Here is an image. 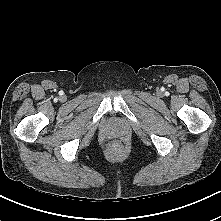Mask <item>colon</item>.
I'll return each instance as SVG.
<instances>
[{
  "label": "colon",
  "instance_id": "colon-1",
  "mask_svg": "<svg viewBox=\"0 0 221 221\" xmlns=\"http://www.w3.org/2000/svg\"><path fill=\"white\" fill-rule=\"evenodd\" d=\"M113 149H114V150H120V147H119L118 145H114V146H113Z\"/></svg>",
  "mask_w": 221,
  "mask_h": 221
}]
</instances>
